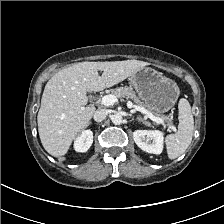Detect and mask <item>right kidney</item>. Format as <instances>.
<instances>
[{
	"label": "right kidney",
	"mask_w": 224,
	"mask_h": 224,
	"mask_svg": "<svg viewBox=\"0 0 224 224\" xmlns=\"http://www.w3.org/2000/svg\"><path fill=\"white\" fill-rule=\"evenodd\" d=\"M93 143V132L84 130L74 141V149L77 152H86Z\"/></svg>",
	"instance_id": "obj_1"
}]
</instances>
